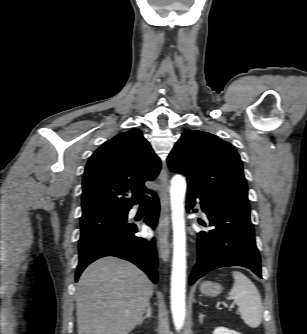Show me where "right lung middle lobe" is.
<instances>
[{"label": "right lung middle lobe", "instance_id": "obj_1", "mask_svg": "<svg viewBox=\"0 0 307 334\" xmlns=\"http://www.w3.org/2000/svg\"><path fill=\"white\" fill-rule=\"evenodd\" d=\"M128 212H100L80 218L81 235L79 250L109 234L120 232L131 224L127 223Z\"/></svg>", "mask_w": 307, "mask_h": 334}]
</instances>
